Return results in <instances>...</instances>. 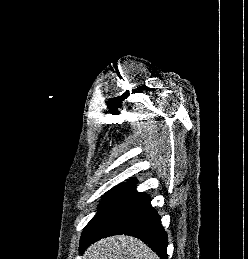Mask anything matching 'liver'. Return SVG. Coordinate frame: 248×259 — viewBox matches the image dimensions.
Listing matches in <instances>:
<instances>
[{
  "instance_id": "1",
  "label": "liver",
  "mask_w": 248,
  "mask_h": 259,
  "mask_svg": "<svg viewBox=\"0 0 248 259\" xmlns=\"http://www.w3.org/2000/svg\"><path fill=\"white\" fill-rule=\"evenodd\" d=\"M83 259H160L141 240L117 235L104 238L87 248Z\"/></svg>"
}]
</instances>
